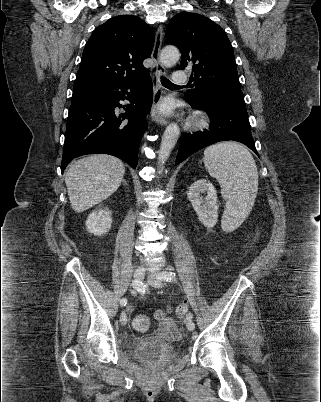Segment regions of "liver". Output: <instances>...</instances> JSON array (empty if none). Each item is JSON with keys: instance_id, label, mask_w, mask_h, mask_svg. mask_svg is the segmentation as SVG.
<instances>
[{"instance_id": "obj_1", "label": "liver", "mask_w": 321, "mask_h": 402, "mask_svg": "<svg viewBox=\"0 0 321 402\" xmlns=\"http://www.w3.org/2000/svg\"><path fill=\"white\" fill-rule=\"evenodd\" d=\"M125 173L121 160L104 154L76 161L67 171L65 183L72 209L83 212L111 196Z\"/></svg>"}]
</instances>
